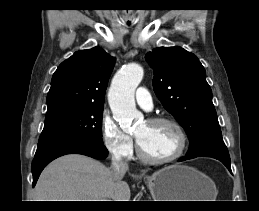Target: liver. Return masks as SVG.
<instances>
[{
	"label": "liver",
	"instance_id": "obj_1",
	"mask_svg": "<svg viewBox=\"0 0 259 211\" xmlns=\"http://www.w3.org/2000/svg\"><path fill=\"white\" fill-rule=\"evenodd\" d=\"M35 201H130L129 185L101 162L79 154L62 156L41 173Z\"/></svg>",
	"mask_w": 259,
	"mask_h": 211
}]
</instances>
